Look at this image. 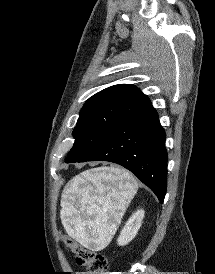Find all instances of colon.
<instances>
[{
	"mask_svg": "<svg viewBox=\"0 0 215 274\" xmlns=\"http://www.w3.org/2000/svg\"><path fill=\"white\" fill-rule=\"evenodd\" d=\"M65 244L75 253L77 264L87 268V274H107L108 260L103 254L85 248L73 240H65Z\"/></svg>",
	"mask_w": 215,
	"mask_h": 274,
	"instance_id": "colon-1",
	"label": "colon"
}]
</instances>
